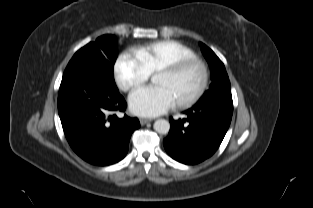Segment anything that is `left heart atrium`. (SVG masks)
Here are the masks:
<instances>
[{"label":"left heart atrium","mask_w":313,"mask_h":208,"mask_svg":"<svg viewBox=\"0 0 313 208\" xmlns=\"http://www.w3.org/2000/svg\"><path fill=\"white\" fill-rule=\"evenodd\" d=\"M175 103L170 91L164 86L142 87L129 96L130 110L137 115L154 117L165 113Z\"/></svg>","instance_id":"39dd6f15"}]
</instances>
